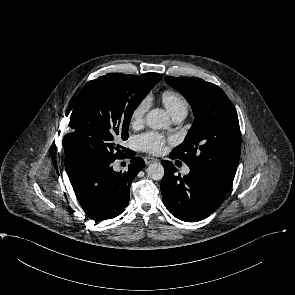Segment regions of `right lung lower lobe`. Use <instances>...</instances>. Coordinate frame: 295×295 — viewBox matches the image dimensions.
<instances>
[{"mask_svg": "<svg viewBox=\"0 0 295 295\" xmlns=\"http://www.w3.org/2000/svg\"><path fill=\"white\" fill-rule=\"evenodd\" d=\"M126 154L132 160L125 172L113 170L115 159L101 157L81 160L67 172L88 218L96 222L111 219L121 214L128 205L130 184L145 163L142 158L134 157L135 153L129 149Z\"/></svg>", "mask_w": 295, "mask_h": 295, "instance_id": "right-lung-lower-lobe-1", "label": "right lung lower lobe"}]
</instances>
